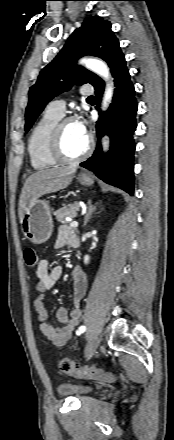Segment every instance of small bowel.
Segmentation results:
<instances>
[{
    "mask_svg": "<svg viewBox=\"0 0 174 440\" xmlns=\"http://www.w3.org/2000/svg\"><path fill=\"white\" fill-rule=\"evenodd\" d=\"M77 234L68 226H60L58 229L54 248L63 250L66 247H75ZM62 267L59 265L49 266L46 259H42L37 267V282L35 289L37 295L34 299V308L38 315L39 327L42 334L56 347L67 344L73 335L75 327L82 316V301L87 290V277L80 267L73 268L72 292L70 312L65 307H60L56 312L58 324L48 322V314L44 306L45 294L50 291L62 276Z\"/></svg>",
    "mask_w": 174,
    "mask_h": 440,
    "instance_id": "small-bowel-1",
    "label": "small bowel"
}]
</instances>
